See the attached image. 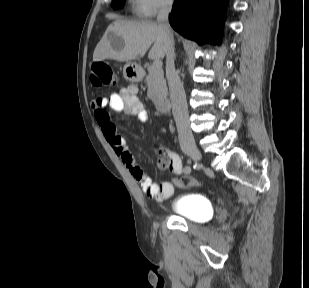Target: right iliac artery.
<instances>
[{
  "label": "right iliac artery",
  "mask_w": 309,
  "mask_h": 288,
  "mask_svg": "<svg viewBox=\"0 0 309 288\" xmlns=\"http://www.w3.org/2000/svg\"><path fill=\"white\" fill-rule=\"evenodd\" d=\"M199 163V162H198ZM201 165H198V164H196V165H193V170H196V171H198V170H200V167Z\"/></svg>",
  "instance_id": "82829eb1"
}]
</instances>
